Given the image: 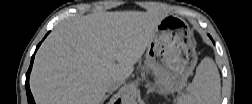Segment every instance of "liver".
Segmentation results:
<instances>
[{
  "label": "liver",
  "instance_id": "1",
  "mask_svg": "<svg viewBox=\"0 0 252 104\" xmlns=\"http://www.w3.org/2000/svg\"><path fill=\"white\" fill-rule=\"evenodd\" d=\"M165 16L97 12L60 23L39 48L30 89L39 104H101L107 84L123 83Z\"/></svg>",
  "mask_w": 252,
  "mask_h": 104
}]
</instances>
